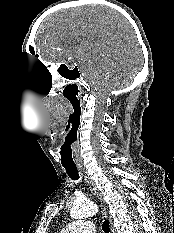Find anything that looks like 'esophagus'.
Masks as SVG:
<instances>
[{"instance_id": "1", "label": "esophagus", "mask_w": 174, "mask_h": 233, "mask_svg": "<svg viewBox=\"0 0 174 233\" xmlns=\"http://www.w3.org/2000/svg\"><path fill=\"white\" fill-rule=\"evenodd\" d=\"M79 172L82 174V176H84V178H85L86 182L88 183L90 189L96 195V197L99 199V201L101 203V209H102L103 216L109 220L110 232L115 233L112 218H111V216L109 215V213L107 211V206H106V203L104 201V198H103L101 192L97 188L95 182L91 179V177L87 174V172L83 168H80Z\"/></svg>"}]
</instances>
